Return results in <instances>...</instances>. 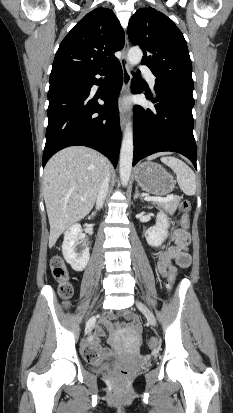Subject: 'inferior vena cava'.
I'll return each instance as SVG.
<instances>
[{"label":"inferior vena cava","instance_id":"inferior-vena-cava-1","mask_svg":"<svg viewBox=\"0 0 233 413\" xmlns=\"http://www.w3.org/2000/svg\"><path fill=\"white\" fill-rule=\"evenodd\" d=\"M109 181H110V172L109 170L107 171L102 184L100 186L98 195H97V200H96V209L99 210L102 208L104 200L106 198L107 192H108V187H109Z\"/></svg>","mask_w":233,"mask_h":413}]
</instances>
